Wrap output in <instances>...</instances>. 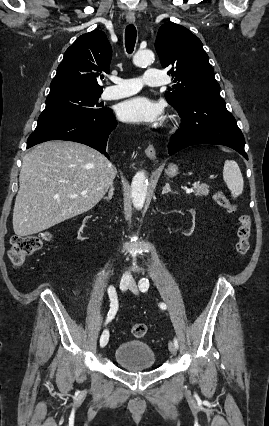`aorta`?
<instances>
[{
	"instance_id": "762f6f07",
	"label": "aorta",
	"mask_w": 269,
	"mask_h": 426,
	"mask_svg": "<svg viewBox=\"0 0 269 426\" xmlns=\"http://www.w3.org/2000/svg\"><path fill=\"white\" fill-rule=\"evenodd\" d=\"M154 53L151 50H140L133 57V63L136 66H144L152 63ZM148 180L143 171L137 172L131 183V197L133 206L140 210L143 208L147 195Z\"/></svg>"
}]
</instances>
